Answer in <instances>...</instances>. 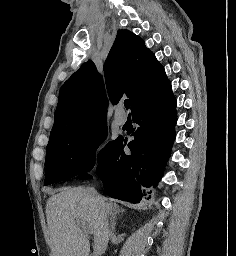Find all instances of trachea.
<instances>
[{
	"label": "trachea",
	"instance_id": "1",
	"mask_svg": "<svg viewBox=\"0 0 236 256\" xmlns=\"http://www.w3.org/2000/svg\"><path fill=\"white\" fill-rule=\"evenodd\" d=\"M124 105H125V108H129V106H130V101L129 100H125L124 101Z\"/></svg>",
	"mask_w": 236,
	"mask_h": 256
}]
</instances>
